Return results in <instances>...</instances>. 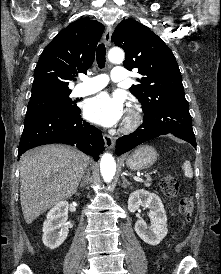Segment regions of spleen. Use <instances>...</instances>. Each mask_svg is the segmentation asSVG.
Wrapping results in <instances>:
<instances>
[{
	"instance_id": "3e777b00",
	"label": "spleen",
	"mask_w": 221,
	"mask_h": 274,
	"mask_svg": "<svg viewBox=\"0 0 221 274\" xmlns=\"http://www.w3.org/2000/svg\"><path fill=\"white\" fill-rule=\"evenodd\" d=\"M182 169L184 170V174H185L186 177H188V178L193 177V171H192V168H191L190 161H185L183 166H182Z\"/></svg>"
}]
</instances>
